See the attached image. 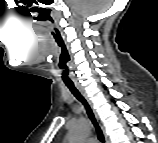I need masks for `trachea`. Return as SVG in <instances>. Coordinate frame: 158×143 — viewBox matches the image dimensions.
<instances>
[{
    "instance_id": "3493384b",
    "label": "trachea",
    "mask_w": 158,
    "mask_h": 143,
    "mask_svg": "<svg viewBox=\"0 0 158 143\" xmlns=\"http://www.w3.org/2000/svg\"><path fill=\"white\" fill-rule=\"evenodd\" d=\"M65 84L70 89L71 93L84 105V107H85V109L87 111L88 117L90 118V120L92 121V123H93V125H94V127L96 129V132H97V135H98V139L101 142H105L102 130H101L100 126L98 125V123H97V121H96V119L94 117V114L92 113V110L89 107V105L86 102V100L82 97V95L76 89L74 84H71V83H65Z\"/></svg>"
}]
</instances>
